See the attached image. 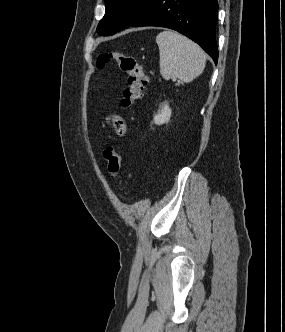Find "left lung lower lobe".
<instances>
[{
	"mask_svg": "<svg viewBox=\"0 0 285 332\" xmlns=\"http://www.w3.org/2000/svg\"><path fill=\"white\" fill-rule=\"evenodd\" d=\"M217 10V0H154L130 26L176 30L198 43L217 64Z\"/></svg>",
	"mask_w": 285,
	"mask_h": 332,
	"instance_id": "obj_1",
	"label": "left lung lower lobe"
}]
</instances>
